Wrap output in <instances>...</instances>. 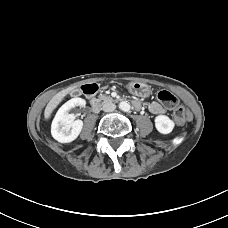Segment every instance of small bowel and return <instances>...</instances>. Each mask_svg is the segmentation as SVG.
I'll return each mask as SVG.
<instances>
[{
  "label": "small bowel",
  "mask_w": 228,
  "mask_h": 228,
  "mask_svg": "<svg viewBox=\"0 0 228 228\" xmlns=\"http://www.w3.org/2000/svg\"><path fill=\"white\" fill-rule=\"evenodd\" d=\"M135 108L140 109L142 107L141 103L138 100L133 101ZM149 111L154 115H161L165 112V108L158 102H151L148 105Z\"/></svg>",
  "instance_id": "obj_1"
}]
</instances>
